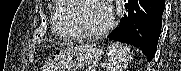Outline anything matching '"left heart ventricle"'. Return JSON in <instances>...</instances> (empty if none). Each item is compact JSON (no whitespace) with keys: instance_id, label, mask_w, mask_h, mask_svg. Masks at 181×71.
<instances>
[{"instance_id":"left-heart-ventricle-1","label":"left heart ventricle","mask_w":181,"mask_h":71,"mask_svg":"<svg viewBox=\"0 0 181 71\" xmlns=\"http://www.w3.org/2000/svg\"><path fill=\"white\" fill-rule=\"evenodd\" d=\"M81 10L78 15L80 26L90 32H97L110 21V10L102 0H79Z\"/></svg>"}]
</instances>
